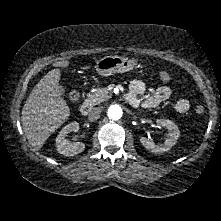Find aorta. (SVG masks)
I'll return each mask as SVG.
<instances>
[{"label": "aorta", "instance_id": "1", "mask_svg": "<svg viewBox=\"0 0 221 221\" xmlns=\"http://www.w3.org/2000/svg\"><path fill=\"white\" fill-rule=\"evenodd\" d=\"M107 115L110 119L119 120L123 115V110L119 105L113 104L109 106Z\"/></svg>", "mask_w": 221, "mask_h": 221}]
</instances>
